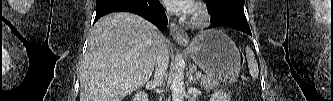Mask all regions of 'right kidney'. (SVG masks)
I'll list each match as a JSON object with an SVG mask.
<instances>
[{
	"label": "right kidney",
	"mask_w": 333,
	"mask_h": 101,
	"mask_svg": "<svg viewBox=\"0 0 333 101\" xmlns=\"http://www.w3.org/2000/svg\"><path fill=\"white\" fill-rule=\"evenodd\" d=\"M148 95L143 92H137L132 101H148Z\"/></svg>",
	"instance_id": "ca27d5eb"
}]
</instances>
